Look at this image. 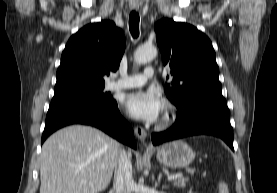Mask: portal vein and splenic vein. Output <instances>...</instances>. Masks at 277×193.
Masks as SVG:
<instances>
[{
	"label": "portal vein and splenic vein",
	"instance_id": "obj_1",
	"mask_svg": "<svg viewBox=\"0 0 277 193\" xmlns=\"http://www.w3.org/2000/svg\"><path fill=\"white\" fill-rule=\"evenodd\" d=\"M183 176V174L182 173H178V174H174V175H170V176H168V180H175V179H177V178H181Z\"/></svg>",
	"mask_w": 277,
	"mask_h": 193
}]
</instances>
